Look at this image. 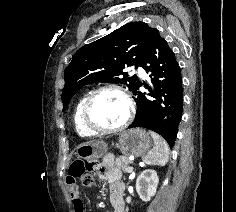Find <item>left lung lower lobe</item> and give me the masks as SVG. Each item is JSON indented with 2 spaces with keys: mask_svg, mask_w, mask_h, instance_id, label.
<instances>
[{
  "mask_svg": "<svg viewBox=\"0 0 236 212\" xmlns=\"http://www.w3.org/2000/svg\"><path fill=\"white\" fill-rule=\"evenodd\" d=\"M140 66L151 72L152 86L145 85L150 91L148 94L139 91L142 83L133 91L137 110L130 128H148L164 137L172 147L182 117V77L174 52L155 28Z\"/></svg>",
  "mask_w": 236,
  "mask_h": 212,
  "instance_id": "0a47b994",
  "label": "left lung lower lobe"
}]
</instances>
